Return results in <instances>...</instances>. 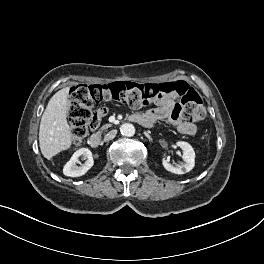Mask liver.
Instances as JSON below:
<instances>
[{
  "label": "liver",
  "mask_w": 264,
  "mask_h": 264,
  "mask_svg": "<svg viewBox=\"0 0 264 264\" xmlns=\"http://www.w3.org/2000/svg\"><path fill=\"white\" fill-rule=\"evenodd\" d=\"M69 90L70 87H66L55 93L41 118L39 146L48 160L72 144L71 129L66 119Z\"/></svg>",
  "instance_id": "1"
}]
</instances>
